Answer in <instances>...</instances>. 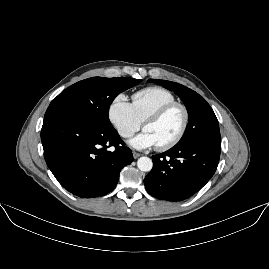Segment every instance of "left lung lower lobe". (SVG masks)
<instances>
[{
  "label": "left lung lower lobe",
  "instance_id": "1",
  "mask_svg": "<svg viewBox=\"0 0 269 269\" xmlns=\"http://www.w3.org/2000/svg\"><path fill=\"white\" fill-rule=\"evenodd\" d=\"M221 144L202 141L176 145L152 156L153 168L145 177L147 192L162 200L182 201L199 191L213 176Z\"/></svg>",
  "mask_w": 269,
  "mask_h": 269
}]
</instances>
